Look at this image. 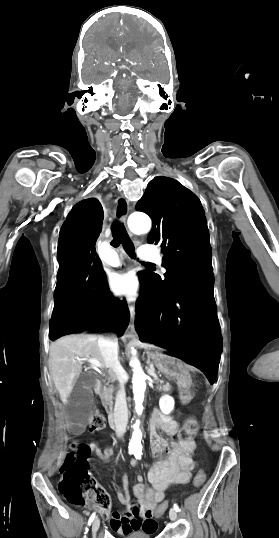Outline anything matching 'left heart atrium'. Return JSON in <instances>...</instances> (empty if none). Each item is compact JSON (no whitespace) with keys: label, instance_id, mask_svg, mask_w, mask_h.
<instances>
[{"label":"left heart atrium","instance_id":"1","mask_svg":"<svg viewBox=\"0 0 279 538\" xmlns=\"http://www.w3.org/2000/svg\"><path fill=\"white\" fill-rule=\"evenodd\" d=\"M112 292L126 299H133L137 292V278L131 271L113 272L108 278Z\"/></svg>","mask_w":279,"mask_h":538}]
</instances>
